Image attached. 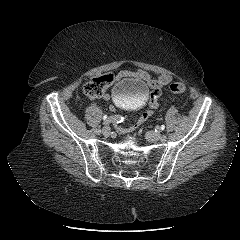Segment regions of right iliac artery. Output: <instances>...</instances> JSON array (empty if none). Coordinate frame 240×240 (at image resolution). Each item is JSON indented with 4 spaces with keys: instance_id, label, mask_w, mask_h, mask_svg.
Returning <instances> with one entry per match:
<instances>
[{
    "instance_id": "1",
    "label": "right iliac artery",
    "mask_w": 240,
    "mask_h": 240,
    "mask_svg": "<svg viewBox=\"0 0 240 240\" xmlns=\"http://www.w3.org/2000/svg\"><path fill=\"white\" fill-rule=\"evenodd\" d=\"M105 121V122H104ZM104 121L101 123V125L98 127L100 130L104 127V125L106 124V122H113V123H121L124 121V117L120 116V115H115V116H112L111 118L109 119H104ZM99 129H96L95 130V133L96 134H100V130Z\"/></svg>"
}]
</instances>
